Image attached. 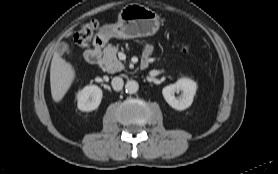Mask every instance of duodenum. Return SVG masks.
<instances>
[{"instance_id": "410a0bca", "label": "duodenum", "mask_w": 278, "mask_h": 174, "mask_svg": "<svg viewBox=\"0 0 278 174\" xmlns=\"http://www.w3.org/2000/svg\"><path fill=\"white\" fill-rule=\"evenodd\" d=\"M104 44V39L102 37H97L94 40L93 47L85 52V60L90 64H96L101 57V52ZM141 65L143 68H145L147 67L148 62L145 60L142 62Z\"/></svg>"}]
</instances>
